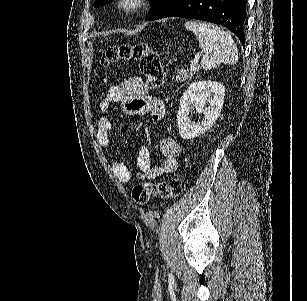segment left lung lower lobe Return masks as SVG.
<instances>
[{
	"mask_svg": "<svg viewBox=\"0 0 307 301\" xmlns=\"http://www.w3.org/2000/svg\"><path fill=\"white\" fill-rule=\"evenodd\" d=\"M247 0H177L157 19L183 17L225 26L244 45Z\"/></svg>",
	"mask_w": 307,
	"mask_h": 301,
	"instance_id": "left-lung-lower-lobe-1",
	"label": "left lung lower lobe"
}]
</instances>
